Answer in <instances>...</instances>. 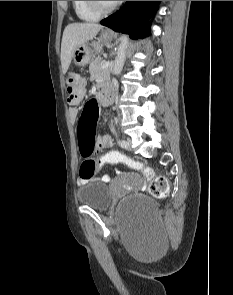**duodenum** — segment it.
I'll use <instances>...</instances> for the list:
<instances>
[{"label": "duodenum", "instance_id": "obj_1", "mask_svg": "<svg viewBox=\"0 0 233 295\" xmlns=\"http://www.w3.org/2000/svg\"><path fill=\"white\" fill-rule=\"evenodd\" d=\"M113 95V91L110 87L100 88V93L97 96V100L110 99Z\"/></svg>", "mask_w": 233, "mask_h": 295}]
</instances>
